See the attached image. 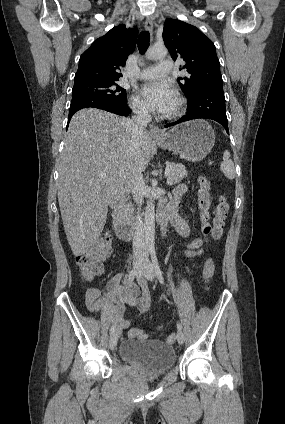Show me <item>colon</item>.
Here are the masks:
<instances>
[{
    "mask_svg": "<svg viewBox=\"0 0 285 424\" xmlns=\"http://www.w3.org/2000/svg\"><path fill=\"white\" fill-rule=\"evenodd\" d=\"M199 202L202 210L203 220V234L206 240L210 237L218 239L223 231L225 219L228 214V202L226 197L221 195L218 198V202L213 210V216H209L210 208V180L208 177L203 176L199 179ZM112 251V236L108 230L101 233L95 246L84 253L77 256L76 262L79 268L80 276L83 280L91 281L103 271L104 260L110 255ZM214 261L213 258L208 255L205 259L204 264V280L208 285L212 280L214 274ZM146 335L139 330L132 329L129 331V338H145ZM175 335L170 334L167 337V342H174Z\"/></svg>",
    "mask_w": 285,
    "mask_h": 424,
    "instance_id": "obj_1",
    "label": "colon"
}]
</instances>
